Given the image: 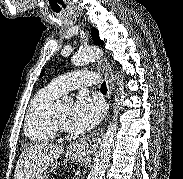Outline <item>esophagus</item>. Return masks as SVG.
<instances>
[{"mask_svg": "<svg viewBox=\"0 0 183 179\" xmlns=\"http://www.w3.org/2000/svg\"><path fill=\"white\" fill-rule=\"evenodd\" d=\"M100 66L102 67L103 73L105 74L108 88V97L110 99L113 85H114V77L110 67L103 61H99ZM103 135V129H98L90 135L76 141L72 147L79 153L91 154L96 151L98 145L101 141V137Z\"/></svg>", "mask_w": 183, "mask_h": 179, "instance_id": "34e87169", "label": "esophagus"}]
</instances>
